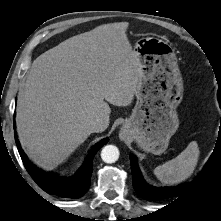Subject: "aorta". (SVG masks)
<instances>
[{"mask_svg": "<svg viewBox=\"0 0 221 221\" xmlns=\"http://www.w3.org/2000/svg\"><path fill=\"white\" fill-rule=\"evenodd\" d=\"M101 158L105 163H114L119 158V150L114 145H107L101 151Z\"/></svg>", "mask_w": 221, "mask_h": 221, "instance_id": "obj_1", "label": "aorta"}]
</instances>
